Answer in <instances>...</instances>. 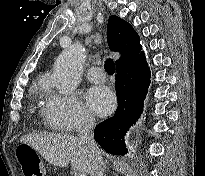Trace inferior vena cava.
Here are the masks:
<instances>
[{
	"label": "inferior vena cava",
	"mask_w": 205,
	"mask_h": 176,
	"mask_svg": "<svg viewBox=\"0 0 205 176\" xmlns=\"http://www.w3.org/2000/svg\"><path fill=\"white\" fill-rule=\"evenodd\" d=\"M94 119L88 116H84L81 119L78 129V140L84 144L90 152L93 154V166L91 170V176H104V162L101 155V151L97 146L94 137Z\"/></svg>",
	"instance_id": "602c4592"
}]
</instances>
